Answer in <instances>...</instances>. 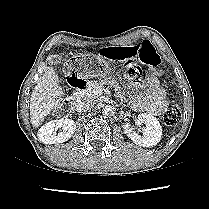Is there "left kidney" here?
<instances>
[{
    "label": "left kidney",
    "mask_w": 209,
    "mask_h": 209,
    "mask_svg": "<svg viewBox=\"0 0 209 209\" xmlns=\"http://www.w3.org/2000/svg\"><path fill=\"white\" fill-rule=\"evenodd\" d=\"M138 122L145 125L143 129V136L138 135L129 125H125L124 133L136 145L142 147L157 145L162 137V128L157 118L151 114L141 113L138 115Z\"/></svg>",
    "instance_id": "1"
}]
</instances>
